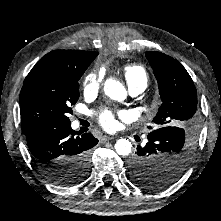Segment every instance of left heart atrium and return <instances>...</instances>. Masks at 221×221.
<instances>
[{
    "label": "left heart atrium",
    "instance_id": "left-heart-atrium-1",
    "mask_svg": "<svg viewBox=\"0 0 221 221\" xmlns=\"http://www.w3.org/2000/svg\"><path fill=\"white\" fill-rule=\"evenodd\" d=\"M123 115L122 111L115 113L110 109H103L98 112L97 119L103 128L106 130H112L116 125V117H122Z\"/></svg>",
    "mask_w": 221,
    "mask_h": 221
}]
</instances>
